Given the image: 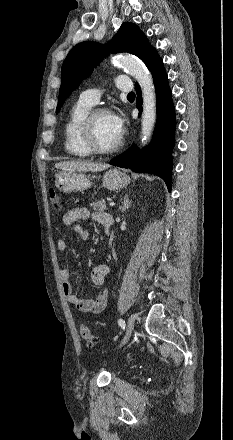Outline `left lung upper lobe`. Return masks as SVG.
I'll list each match as a JSON object with an SVG mask.
<instances>
[{
  "mask_svg": "<svg viewBox=\"0 0 233 440\" xmlns=\"http://www.w3.org/2000/svg\"><path fill=\"white\" fill-rule=\"evenodd\" d=\"M118 52L134 54L146 66L151 58L157 54L138 26L128 22L121 25L117 34L106 46L90 41L77 44L69 52L61 68L62 83L56 113L81 80L91 74L97 62L109 53Z\"/></svg>",
  "mask_w": 233,
  "mask_h": 440,
  "instance_id": "obj_1",
  "label": "left lung upper lobe"
}]
</instances>
